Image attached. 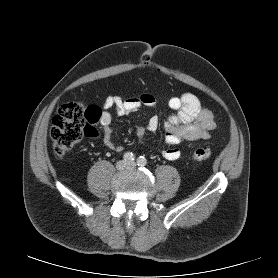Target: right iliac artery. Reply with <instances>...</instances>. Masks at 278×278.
I'll list each match as a JSON object with an SVG mask.
<instances>
[{
	"label": "right iliac artery",
	"instance_id": "right-iliac-artery-1",
	"mask_svg": "<svg viewBox=\"0 0 278 278\" xmlns=\"http://www.w3.org/2000/svg\"><path fill=\"white\" fill-rule=\"evenodd\" d=\"M123 158L127 162H132L135 159V155L132 152H127L124 154Z\"/></svg>",
	"mask_w": 278,
	"mask_h": 278
}]
</instances>
